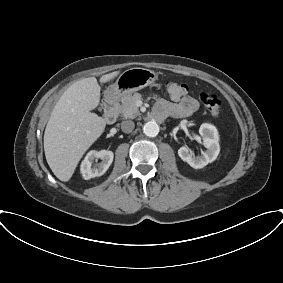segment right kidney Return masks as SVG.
<instances>
[{"instance_id":"obj_1","label":"right kidney","mask_w":283,"mask_h":283,"mask_svg":"<svg viewBox=\"0 0 283 283\" xmlns=\"http://www.w3.org/2000/svg\"><path fill=\"white\" fill-rule=\"evenodd\" d=\"M113 157V152L108 150H92L88 152V154L81 163L80 170L83 178L88 180L90 178L103 175L113 162ZM97 159H101V162L98 164H94V161H97Z\"/></svg>"}]
</instances>
